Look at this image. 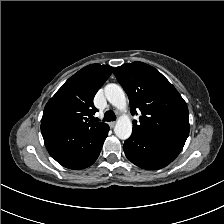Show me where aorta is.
<instances>
[{"label":"aorta","mask_w":224,"mask_h":224,"mask_svg":"<svg viewBox=\"0 0 224 224\" xmlns=\"http://www.w3.org/2000/svg\"><path fill=\"white\" fill-rule=\"evenodd\" d=\"M107 100L118 110L126 111L127 99L124 90L121 86L110 83L105 86L104 89ZM115 135L122 140H126L132 133V122L126 115H122L118 118L114 127Z\"/></svg>","instance_id":"aorta-1"}]
</instances>
